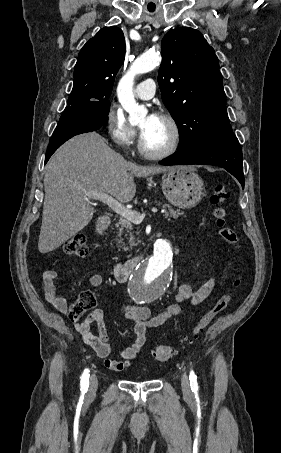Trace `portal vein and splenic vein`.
Masks as SVG:
<instances>
[{"label":"portal vein and splenic vein","instance_id":"18ae733b","mask_svg":"<svg viewBox=\"0 0 281 453\" xmlns=\"http://www.w3.org/2000/svg\"><path fill=\"white\" fill-rule=\"evenodd\" d=\"M86 198H95V200H102V202H105V204H108L114 212H117V214H121L123 218H127V220H131V222H142L145 212L143 214H140L138 210H131V208H126V206H123L121 202H118L116 198H113V196H110V194H106V192H96V190H87L85 192ZM151 214H155L157 212L158 208H151Z\"/></svg>","mask_w":281,"mask_h":453}]
</instances>
